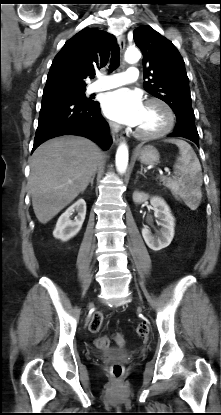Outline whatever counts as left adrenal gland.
Returning a JSON list of instances; mask_svg holds the SVG:
<instances>
[{
	"label": "left adrenal gland",
	"mask_w": 221,
	"mask_h": 415,
	"mask_svg": "<svg viewBox=\"0 0 221 415\" xmlns=\"http://www.w3.org/2000/svg\"><path fill=\"white\" fill-rule=\"evenodd\" d=\"M143 167L141 166V170H140V172H138V174H141V175H143Z\"/></svg>",
	"instance_id": "1"
}]
</instances>
